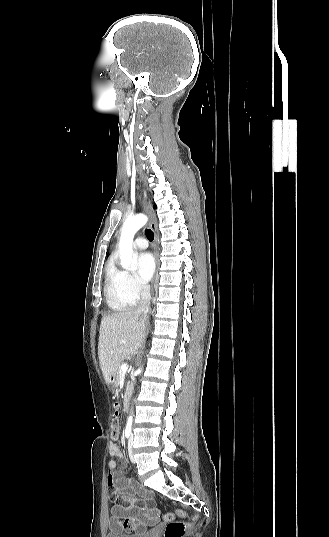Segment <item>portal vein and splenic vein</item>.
<instances>
[{
  "instance_id": "18ae733b",
  "label": "portal vein and splenic vein",
  "mask_w": 329,
  "mask_h": 537,
  "mask_svg": "<svg viewBox=\"0 0 329 537\" xmlns=\"http://www.w3.org/2000/svg\"><path fill=\"white\" fill-rule=\"evenodd\" d=\"M127 370H128V364L127 363L122 364L121 373H126Z\"/></svg>"
}]
</instances>
